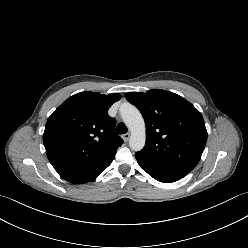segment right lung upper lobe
Returning a JSON list of instances; mask_svg holds the SVG:
<instances>
[{"label":"right lung upper lobe","mask_w":248,"mask_h":248,"mask_svg":"<svg viewBox=\"0 0 248 248\" xmlns=\"http://www.w3.org/2000/svg\"><path fill=\"white\" fill-rule=\"evenodd\" d=\"M119 93L80 92L69 97L48 118L43 142L55 164H87L117 151L123 140L115 133L108 109Z\"/></svg>","instance_id":"cb5924a9"}]
</instances>
